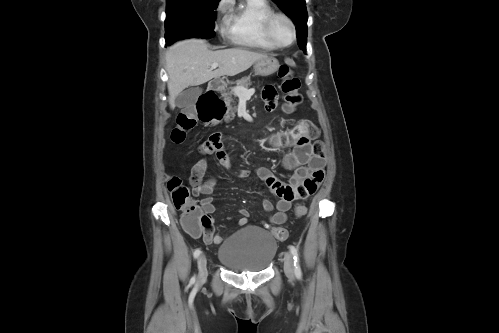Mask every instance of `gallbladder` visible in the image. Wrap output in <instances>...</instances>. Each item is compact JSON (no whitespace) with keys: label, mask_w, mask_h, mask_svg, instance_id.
<instances>
[{"label":"gallbladder","mask_w":499,"mask_h":333,"mask_svg":"<svg viewBox=\"0 0 499 333\" xmlns=\"http://www.w3.org/2000/svg\"><path fill=\"white\" fill-rule=\"evenodd\" d=\"M202 93V89L199 87H190L189 89L181 92L175 99V105L179 108H190L197 101L198 97Z\"/></svg>","instance_id":"gallbladder-1"}]
</instances>
